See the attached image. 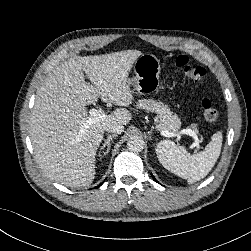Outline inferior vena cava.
<instances>
[{"label":"inferior vena cava","instance_id":"inferior-vena-cava-1","mask_svg":"<svg viewBox=\"0 0 251 251\" xmlns=\"http://www.w3.org/2000/svg\"><path fill=\"white\" fill-rule=\"evenodd\" d=\"M104 130L109 133H117L120 134L124 130V126L121 124H107L104 127Z\"/></svg>","mask_w":251,"mask_h":251}]
</instances>
